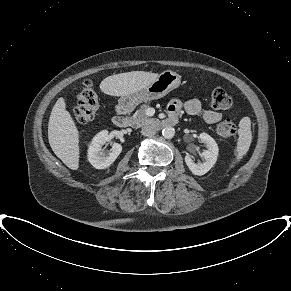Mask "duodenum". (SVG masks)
Listing matches in <instances>:
<instances>
[{
	"instance_id": "1",
	"label": "duodenum",
	"mask_w": 291,
	"mask_h": 291,
	"mask_svg": "<svg viewBox=\"0 0 291 291\" xmlns=\"http://www.w3.org/2000/svg\"><path fill=\"white\" fill-rule=\"evenodd\" d=\"M128 106L121 105L119 106L115 116L113 117V123L120 128H125L129 125V118H128ZM176 124L175 117H169L165 120H162L158 123L159 127H166V126H173Z\"/></svg>"
}]
</instances>
